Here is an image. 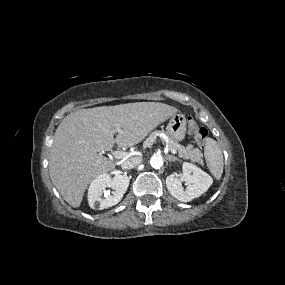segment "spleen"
Returning <instances> with one entry per match:
<instances>
[{
	"mask_svg": "<svg viewBox=\"0 0 285 285\" xmlns=\"http://www.w3.org/2000/svg\"><path fill=\"white\" fill-rule=\"evenodd\" d=\"M205 159L210 173L216 180H220L224 166L223 154L219 144L213 139H208L207 141Z\"/></svg>",
	"mask_w": 285,
	"mask_h": 285,
	"instance_id": "1",
	"label": "spleen"
}]
</instances>
